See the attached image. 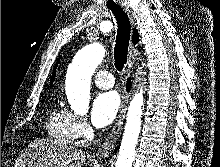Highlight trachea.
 <instances>
[{
	"mask_svg": "<svg viewBox=\"0 0 220 167\" xmlns=\"http://www.w3.org/2000/svg\"><path fill=\"white\" fill-rule=\"evenodd\" d=\"M116 18L118 32L114 47L115 67L121 72L127 62V54L130 40V21L127 14L118 5L108 7Z\"/></svg>",
	"mask_w": 220,
	"mask_h": 167,
	"instance_id": "obj_1",
	"label": "trachea"
}]
</instances>
